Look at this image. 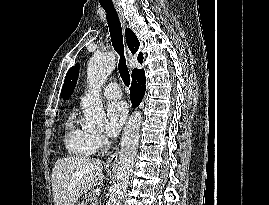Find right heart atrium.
<instances>
[{
  "instance_id": "d8ad5b80",
  "label": "right heart atrium",
  "mask_w": 269,
  "mask_h": 205,
  "mask_svg": "<svg viewBox=\"0 0 269 205\" xmlns=\"http://www.w3.org/2000/svg\"><path fill=\"white\" fill-rule=\"evenodd\" d=\"M92 140L96 149H100L105 145V138L101 134L92 135Z\"/></svg>"
}]
</instances>
